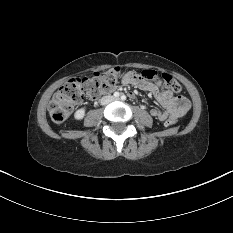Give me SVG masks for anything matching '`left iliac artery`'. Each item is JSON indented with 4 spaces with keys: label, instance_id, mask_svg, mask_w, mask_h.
Wrapping results in <instances>:
<instances>
[{
    "label": "left iliac artery",
    "instance_id": "44dca946",
    "mask_svg": "<svg viewBox=\"0 0 233 233\" xmlns=\"http://www.w3.org/2000/svg\"><path fill=\"white\" fill-rule=\"evenodd\" d=\"M121 100H123V101L126 100V96L124 94L121 96Z\"/></svg>",
    "mask_w": 233,
    "mask_h": 233
}]
</instances>
